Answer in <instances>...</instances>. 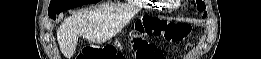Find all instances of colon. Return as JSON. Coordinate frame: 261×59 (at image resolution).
I'll return each instance as SVG.
<instances>
[{"label": "colon", "mask_w": 261, "mask_h": 59, "mask_svg": "<svg viewBox=\"0 0 261 59\" xmlns=\"http://www.w3.org/2000/svg\"><path fill=\"white\" fill-rule=\"evenodd\" d=\"M191 33L187 24L169 22L159 17L145 18L140 28L132 37L136 59H162L163 53L147 37H162L168 42H180ZM77 59H120L122 58L113 47H97L87 45L77 55Z\"/></svg>", "instance_id": "colon-1"}]
</instances>
